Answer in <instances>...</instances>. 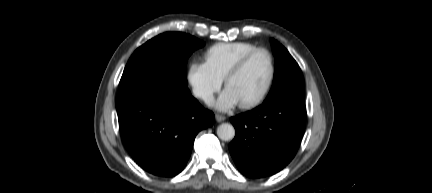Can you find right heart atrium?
I'll return each instance as SVG.
<instances>
[{"instance_id":"right-heart-atrium-1","label":"right heart atrium","mask_w":432,"mask_h":193,"mask_svg":"<svg viewBox=\"0 0 432 193\" xmlns=\"http://www.w3.org/2000/svg\"><path fill=\"white\" fill-rule=\"evenodd\" d=\"M187 80L194 95L205 102H210L222 86V80L202 61L190 64Z\"/></svg>"}]
</instances>
